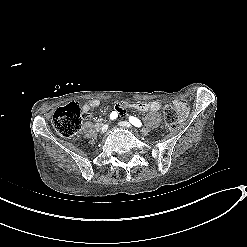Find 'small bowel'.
Listing matches in <instances>:
<instances>
[{
    "mask_svg": "<svg viewBox=\"0 0 247 247\" xmlns=\"http://www.w3.org/2000/svg\"><path fill=\"white\" fill-rule=\"evenodd\" d=\"M100 101L98 99H91L86 101L81 105V111L83 114H89L90 111L96 107H98ZM176 108L180 111L181 116L186 115L188 111V107L180 102L177 101L175 103ZM128 109H133L139 112H159L162 109V103L160 101H151V102H137V103H127V102H118L115 107L114 111L119 116H125Z\"/></svg>",
    "mask_w": 247,
    "mask_h": 247,
    "instance_id": "obj_1",
    "label": "small bowel"
}]
</instances>
